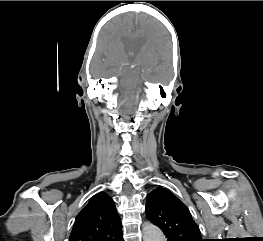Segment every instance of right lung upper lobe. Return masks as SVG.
Wrapping results in <instances>:
<instances>
[{
	"instance_id": "cb5924a9",
	"label": "right lung upper lobe",
	"mask_w": 263,
	"mask_h": 241,
	"mask_svg": "<svg viewBox=\"0 0 263 241\" xmlns=\"http://www.w3.org/2000/svg\"><path fill=\"white\" fill-rule=\"evenodd\" d=\"M69 241H123L122 224L113 200L94 195L77 215Z\"/></svg>"
}]
</instances>
